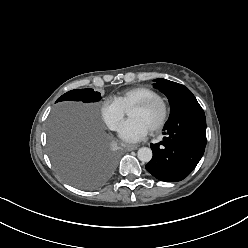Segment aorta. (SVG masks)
<instances>
[{
  "mask_svg": "<svg viewBox=\"0 0 248 248\" xmlns=\"http://www.w3.org/2000/svg\"><path fill=\"white\" fill-rule=\"evenodd\" d=\"M137 157L142 162H149L152 159V150L148 147H142L137 152Z\"/></svg>",
  "mask_w": 248,
  "mask_h": 248,
  "instance_id": "obj_1",
  "label": "aorta"
}]
</instances>
